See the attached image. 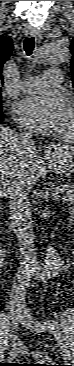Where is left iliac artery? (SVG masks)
<instances>
[{"instance_id": "left-iliac-artery-1", "label": "left iliac artery", "mask_w": 74, "mask_h": 366, "mask_svg": "<svg viewBox=\"0 0 74 366\" xmlns=\"http://www.w3.org/2000/svg\"><path fill=\"white\" fill-rule=\"evenodd\" d=\"M52 333H57L60 330L59 324L53 319H48L44 322Z\"/></svg>"}]
</instances>
